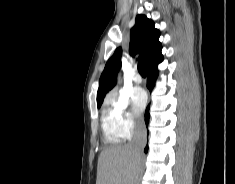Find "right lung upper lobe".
<instances>
[{"mask_svg": "<svg viewBox=\"0 0 235 184\" xmlns=\"http://www.w3.org/2000/svg\"><path fill=\"white\" fill-rule=\"evenodd\" d=\"M160 32L154 22L145 15H137L135 25L130 30L129 53L135 56L141 53L139 59L145 60L146 68L163 58L161 54ZM121 47L107 61L99 80L97 105H101L106 93L111 90L117 81V73L121 68Z\"/></svg>", "mask_w": 235, "mask_h": 184, "instance_id": "obj_1", "label": "right lung upper lobe"}]
</instances>
